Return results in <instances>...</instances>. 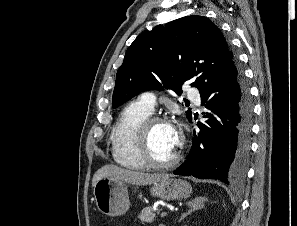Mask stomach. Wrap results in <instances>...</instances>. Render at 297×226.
<instances>
[{
  "instance_id": "1",
  "label": "stomach",
  "mask_w": 297,
  "mask_h": 226,
  "mask_svg": "<svg viewBox=\"0 0 297 226\" xmlns=\"http://www.w3.org/2000/svg\"><path fill=\"white\" fill-rule=\"evenodd\" d=\"M191 191L188 182L172 177L164 178L150 188L153 196L165 200L185 198ZM93 195L97 208L107 216H120L129 209V196L123 181L101 178L94 186Z\"/></svg>"
}]
</instances>
